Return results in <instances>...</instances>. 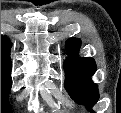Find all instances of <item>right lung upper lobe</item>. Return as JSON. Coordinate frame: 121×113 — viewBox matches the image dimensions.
Listing matches in <instances>:
<instances>
[{
	"instance_id": "1",
	"label": "right lung upper lobe",
	"mask_w": 121,
	"mask_h": 113,
	"mask_svg": "<svg viewBox=\"0 0 121 113\" xmlns=\"http://www.w3.org/2000/svg\"><path fill=\"white\" fill-rule=\"evenodd\" d=\"M10 42L6 37H1V67L11 69Z\"/></svg>"
}]
</instances>
